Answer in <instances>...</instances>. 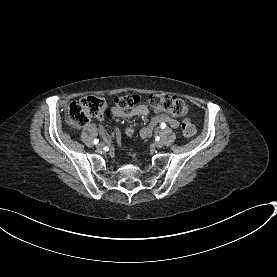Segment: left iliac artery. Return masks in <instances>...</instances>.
I'll list each match as a JSON object with an SVG mask.
<instances>
[{"label": "left iliac artery", "instance_id": "obj_1", "mask_svg": "<svg viewBox=\"0 0 277 277\" xmlns=\"http://www.w3.org/2000/svg\"><path fill=\"white\" fill-rule=\"evenodd\" d=\"M160 127H161L162 129H164V128L166 127V124L163 122V123H161Z\"/></svg>", "mask_w": 277, "mask_h": 277}]
</instances>
